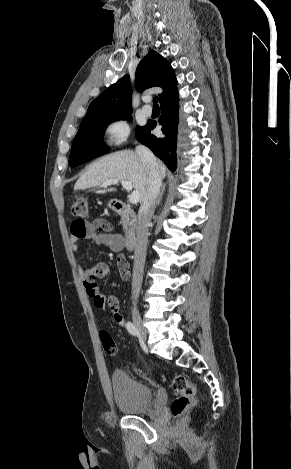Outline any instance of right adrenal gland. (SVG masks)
<instances>
[{"mask_svg":"<svg viewBox=\"0 0 291 469\" xmlns=\"http://www.w3.org/2000/svg\"><path fill=\"white\" fill-rule=\"evenodd\" d=\"M164 190H165V186L162 187V190H161V192H160V195H159V198H158V201H157V205H159L160 202H161V199H162V195H163Z\"/></svg>","mask_w":291,"mask_h":469,"instance_id":"1","label":"right adrenal gland"}]
</instances>
